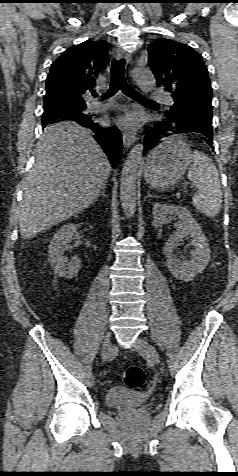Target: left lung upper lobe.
I'll list each match as a JSON object with an SVG mask.
<instances>
[{"label": "left lung upper lobe", "instance_id": "obj_1", "mask_svg": "<svg viewBox=\"0 0 238 476\" xmlns=\"http://www.w3.org/2000/svg\"><path fill=\"white\" fill-rule=\"evenodd\" d=\"M148 53L158 85L172 93L170 112L212 116V88L201 55L188 45L165 38L149 44Z\"/></svg>", "mask_w": 238, "mask_h": 476}]
</instances>
